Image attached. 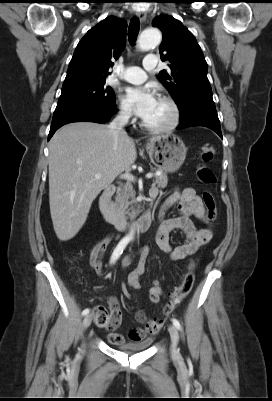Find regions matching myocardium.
Returning a JSON list of instances; mask_svg holds the SVG:
<instances>
[{
    "label": "myocardium",
    "instance_id": "myocardium-1",
    "mask_svg": "<svg viewBox=\"0 0 272 401\" xmlns=\"http://www.w3.org/2000/svg\"><path fill=\"white\" fill-rule=\"evenodd\" d=\"M158 98L164 102H166L170 108H171V112H172V116L170 121L162 126H153V125H149L147 124L145 121H141V127L149 132L152 133H166V132H170L172 130H174L175 128L178 127V125L180 124V120H181V110L180 107L178 105V103L176 102V100L169 96V95H165V94H161L158 96Z\"/></svg>",
    "mask_w": 272,
    "mask_h": 401
}]
</instances>
